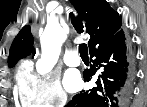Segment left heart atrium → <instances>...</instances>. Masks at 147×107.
Listing matches in <instances>:
<instances>
[{"label":"left heart atrium","mask_w":147,"mask_h":107,"mask_svg":"<svg viewBox=\"0 0 147 107\" xmlns=\"http://www.w3.org/2000/svg\"><path fill=\"white\" fill-rule=\"evenodd\" d=\"M65 86L69 91H76L81 86V79L74 71H68L65 76Z\"/></svg>","instance_id":"left-heart-atrium-1"}]
</instances>
